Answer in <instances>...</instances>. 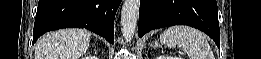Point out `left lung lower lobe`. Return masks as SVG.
<instances>
[{
  "instance_id": "1",
  "label": "left lung lower lobe",
  "mask_w": 261,
  "mask_h": 59,
  "mask_svg": "<svg viewBox=\"0 0 261 59\" xmlns=\"http://www.w3.org/2000/svg\"><path fill=\"white\" fill-rule=\"evenodd\" d=\"M173 25H189L205 32L220 48L216 0H141L138 34Z\"/></svg>"
}]
</instances>
